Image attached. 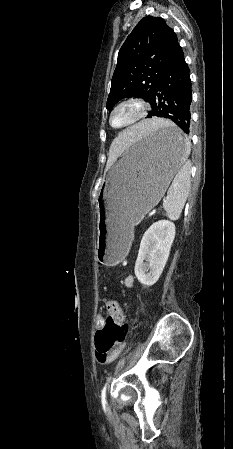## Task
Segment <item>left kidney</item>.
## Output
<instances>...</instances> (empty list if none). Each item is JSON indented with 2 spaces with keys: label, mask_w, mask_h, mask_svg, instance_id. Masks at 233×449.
Masks as SVG:
<instances>
[{
  "label": "left kidney",
  "mask_w": 233,
  "mask_h": 449,
  "mask_svg": "<svg viewBox=\"0 0 233 449\" xmlns=\"http://www.w3.org/2000/svg\"><path fill=\"white\" fill-rule=\"evenodd\" d=\"M174 238L175 225L168 220L153 223L144 233L135 263V275L141 284L152 286L158 281Z\"/></svg>",
  "instance_id": "1"
}]
</instances>
